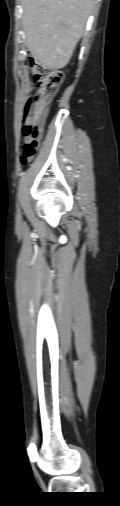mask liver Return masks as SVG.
Returning a JSON list of instances; mask_svg holds the SVG:
<instances>
[{"instance_id":"liver-1","label":"liver","mask_w":120,"mask_h":506,"mask_svg":"<svg viewBox=\"0 0 120 506\" xmlns=\"http://www.w3.org/2000/svg\"><path fill=\"white\" fill-rule=\"evenodd\" d=\"M26 45L50 69L69 62L83 35L94 0H21Z\"/></svg>"}]
</instances>
